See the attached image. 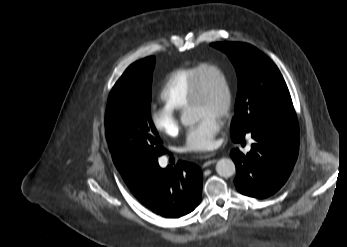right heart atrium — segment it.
Returning <instances> with one entry per match:
<instances>
[{
	"mask_svg": "<svg viewBox=\"0 0 347 247\" xmlns=\"http://www.w3.org/2000/svg\"><path fill=\"white\" fill-rule=\"evenodd\" d=\"M150 120L155 130L165 136H175L179 131L176 113L166 106L152 108Z\"/></svg>",
	"mask_w": 347,
	"mask_h": 247,
	"instance_id": "d8ad5b80",
	"label": "right heart atrium"
}]
</instances>
